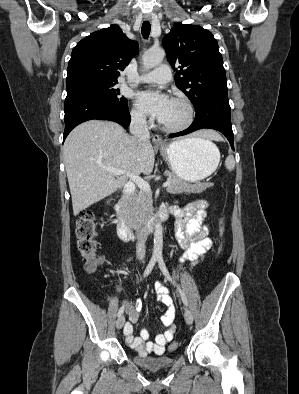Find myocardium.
I'll use <instances>...</instances> for the list:
<instances>
[{"label":"myocardium","instance_id":"myocardium-1","mask_svg":"<svg viewBox=\"0 0 299 394\" xmlns=\"http://www.w3.org/2000/svg\"><path fill=\"white\" fill-rule=\"evenodd\" d=\"M172 101L178 102L184 106L187 112L186 120L183 123L174 126L166 125L162 121H160V126L163 130L167 132H180L190 127V125L193 123L194 107L191 102L185 97H174Z\"/></svg>","mask_w":299,"mask_h":394}]
</instances>
